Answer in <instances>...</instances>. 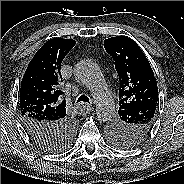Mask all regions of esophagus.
<instances>
[{
    "label": "esophagus",
    "mask_w": 184,
    "mask_h": 184,
    "mask_svg": "<svg viewBox=\"0 0 184 184\" xmlns=\"http://www.w3.org/2000/svg\"><path fill=\"white\" fill-rule=\"evenodd\" d=\"M77 108L80 112L83 113H90L94 110V108L91 105L84 104L83 102L77 104Z\"/></svg>",
    "instance_id": "obj_1"
}]
</instances>
